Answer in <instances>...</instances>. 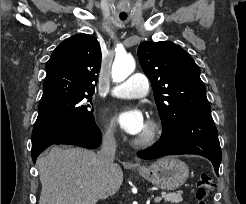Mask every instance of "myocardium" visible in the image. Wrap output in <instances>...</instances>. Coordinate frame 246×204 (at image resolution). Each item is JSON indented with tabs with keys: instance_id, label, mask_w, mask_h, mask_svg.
<instances>
[{
	"instance_id": "obj_1",
	"label": "myocardium",
	"mask_w": 246,
	"mask_h": 204,
	"mask_svg": "<svg viewBox=\"0 0 246 204\" xmlns=\"http://www.w3.org/2000/svg\"><path fill=\"white\" fill-rule=\"evenodd\" d=\"M147 131L143 134L138 136L134 140V144L139 147H148L153 145L161 134V126L160 124L154 120L150 119L147 122Z\"/></svg>"
}]
</instances>
